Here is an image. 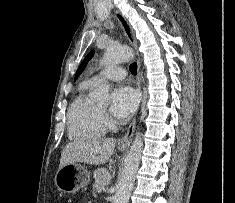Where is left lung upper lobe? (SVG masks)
<instances>
[{
	"label": "left lung upper lobe",
	"mask_w": 235,
	"mask_h": 203,
	"mask_svg": "<svg viewBox=\"0 0 235 203\" xmlns=\"http://www.w3.org/2000/svg\"><path fill=\"white\" fill-rule=\"evenodd\" d=\"M94 51H91L83 60V62L81 63V65L79 66L77 72H76V76H75V80L78 78V76L83 72L84 68L86 67L88 61L91 59V57L93 56Z\"/></svg>",
	"instance_id": "5c2ea615"
}]
</instances>
